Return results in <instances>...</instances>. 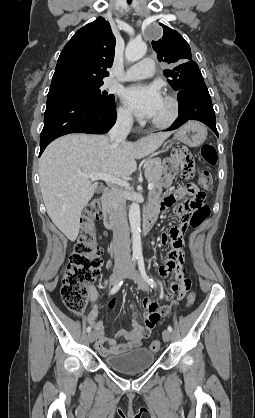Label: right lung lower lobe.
Returning <instances> with one entry per match:
<instances>
[{
	"mask_svg": "<svg viewBox=\"0 0 255 418\" xmlns=\"http://www.w3.org/2000/svg\"><path fill=\"white\" fill-rule=\"evenodd\" d=\"M115 121V104L111 108H102L78 97H48L39 156L50 142L62 135L104 134L112 128Z\"/></svg>",
	"mask_w": 255,
	"mask_h": 418,
	"instance_id": "obj_1",
	"label": "right lung lower lobe"
}]
</instances>
